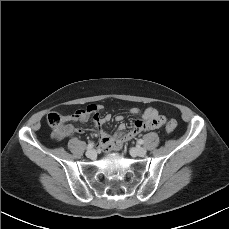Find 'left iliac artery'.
<instances>
[{"instance_id": "obj_1", "label": "left iliac artery", "mask_w": 229, "mask_h": 229, "mask_svg": "<svg viewBox=\"0 0 229 229\" xmlns=\"http://www.w3.org/2000/svg\"><path fill=\"white\" fill-rule=\"evenodd\" d=\"M144 143V141L142 139L138 140V144L142 145Z\"/></svg>"}]
</instances>
